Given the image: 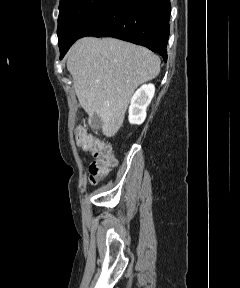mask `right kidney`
Here are the masks:
<instances>
[{"instance_id":"right-kidney-1","label":"right kidney","mask_w":240,"mask_h":288,"mask_svg":"<svg viewBox=\"0 0 240 288\" xmlns=\"http://www.w3.org/2000/svg\"><path fill=\"white\" fill-rule=\"evenodd\" d=\"M155 93L153 84L142 85L131 98L129 106V122L140 125L146 118L147 107Z\"/></svg>"}]
</instances>
